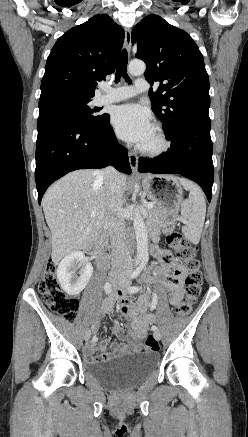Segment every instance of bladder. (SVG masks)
<instances>
[{"mask_svg":"<svg viewBox=\"0 0 248 437\" xmlns=\"http://www.w3.org/2000/svg\"><path fill=\"white\" fill-rule=\"evenodd\" d=\"M158 356L152 352L129 353L91 364L87 373L106 387L125 389L137 385L156 367Z\"/></svg>","mask_w":248,"mask_h":437,"instance_id":"1","label":"bladder"}]
</instances>
